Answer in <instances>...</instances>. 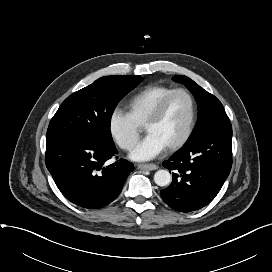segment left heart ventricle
<instances>
[{
  "mask_svg": "<svg viewBox=\"0 0 272 272\" xmlns=\"http://www.w3.org/2000/svg\"><path fill=\"white\" fill-rule=\"evenodd\" d=\"M190 118V102L183 94L172 98L161 119L146 128L148 134L157 136L165 147L177 142L184 134Z\"/></svg>",
  "mask_w": 272,
  "mask_h": 272,
  "instance_id": "obj_1",
  "label": "left heart ventricle"
}]
</instances>
